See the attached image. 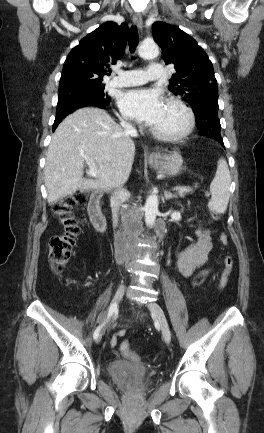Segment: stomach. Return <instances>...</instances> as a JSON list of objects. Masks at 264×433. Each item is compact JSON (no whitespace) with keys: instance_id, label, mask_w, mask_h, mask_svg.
Masks as SVG:
<instances>
[{"instance_id":"stomach-1","label":"stomach","mask_w":264,"mask_h":433,"mask_svg":"<svg viewBox=\"0 0 264 433\" xmlns=\"http://www.w3.org/2000/svg\"><path fill=\"white\" fill-rule=\"evenodd\" d=\"M149 165L162 174L176 176L182 171L183 159L181 153L174 150L158 154L155 160H149Z\"/></svg>"}]
</instances>
